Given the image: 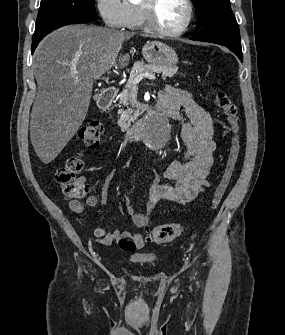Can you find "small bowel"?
Instances as JSON below:
<instances>
[{"mask_svg": "<svg viewBox=\"0 0 285 335\" xmlns=\"http://www.w3.org/2000/svg\"><path fill=\"white\" fill-rule=\"evenodd\" d=\"M159 100L170 101L176 108L177 114L173 119L178 124L179 135L186 144V151L182 159L172 161L162 172V176L169 180L168 183L161 184L160 174L152 173L145 212H137L131 206L129 197H125L127 213L139 228L148 226L151 214L160 202L186 204L194 200L209 185L208 177L214 165L215 127L209 112L200 107L188 92L171 86L165 87L159 93ZM181 110H184L188 121L181 120L179 116ZM113 176L114 169H110L99 198L90 196L85 202L73 199L70 201L71 210L80 216H85L86 207L104 205L109 196V185ZM93 234L97 242L104 246L112 244L122 236L131 237L138 248L144 246V237L140 233L131 236L118 229L107 231L97 226Z\"/></svg>", "mask_w": 285, "mask_h": 335, "instance_id": "c3829d8e", "label": "small bowel"}]
</instances>
